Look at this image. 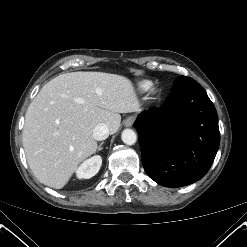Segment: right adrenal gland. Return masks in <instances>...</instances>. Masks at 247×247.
<instances>
[{
    "mask_svg": "<svg viewBox=\"0 0 247 247\" xmlns=\"http://www.w3.org/2000/svg\"><path fill=\"white\" fill-rule=\"evenodd\" d=\"M104 144V142H101L100 145L98 146L97 148V151H101L103 148H102V145Z\"/></svg>",
    "mask_w": 247,
    "mask_h": 247,
    "instance_id": "2a0ac1e0",
    "label": "right adrenal gland"
}]
</instances>
